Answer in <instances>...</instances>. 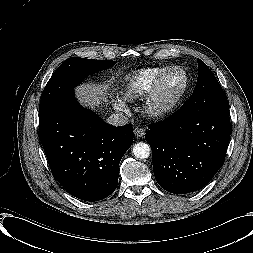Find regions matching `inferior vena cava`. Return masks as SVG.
Wrapping results in <instances>:
<instances>
[{"label": "inferior vena cava", "instance_id": "inferior-vena-cava-1", "mask_svg": "<svg viewBox=\"0 0 253 253\" xmlns=\"http://www.w3.org/2000/svg\"><path fill=\"white\" fill-rule=\"evenodd\" d=\"M107 122L113 126H122L128 123V118L121 113H114L108 117Z\"/></svg>", "mask_w": 253, "mask_h": 253}]
</instances>
